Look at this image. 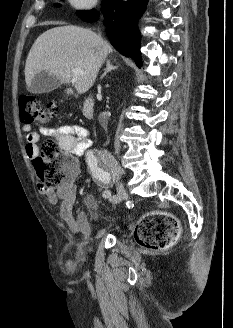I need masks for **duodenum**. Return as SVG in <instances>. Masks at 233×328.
Instances as JSON below:
<instances>
[{
  "label": "duodenum",
  "mask_w": 233,
  "mask_h": 328,
  "mask_svg": "<svg viewBox=\"0 0 233 328\" xmlns=\"http://www.w3.org/2000/svg\"><path fill=\"white\" fill-rule=\"evenodd\" d=\"M94 99L89 96L85 99L84 103H83V108H82V111H83V115L86 117V118H93L94 116Z\"/></svg>",
  "instance_id": "duodenum-1"
}]
</instances>
